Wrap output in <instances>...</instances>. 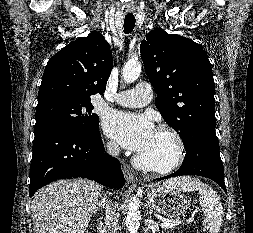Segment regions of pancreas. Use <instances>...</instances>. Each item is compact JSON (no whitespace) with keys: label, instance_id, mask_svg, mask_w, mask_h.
I'll list each match as a JSON object with an SVG mask.
<instances>
[{"label":"pancreas","instance_id":"obj_1","mask_svg":"<svg viewBox=\"0 0 253 233\" xmlns=\"http://www.w3.org/2000/svg\"><path fill=\"white\" fill-rule=\"evenodd\" d=\"M174 230V227L170 228V231H173Z\"/></svg>","mask_w":253,"mask_h":233}]
</instances>
